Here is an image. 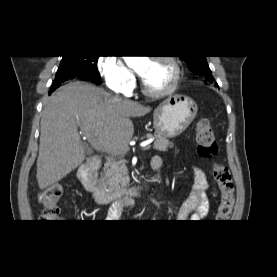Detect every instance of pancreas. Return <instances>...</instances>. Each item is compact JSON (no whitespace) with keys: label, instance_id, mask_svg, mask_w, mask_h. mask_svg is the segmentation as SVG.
Wrapping results in <instances>:
<instances>
[{"label":"pancreas","instance_id":"pancreas-1","mask_svg":"<svg viewBox=\"0 0 277 277\" xmlns=\"http://www.w3.org/2000/svg\"><path fill=\"white\" fill-rule=\"evenodd\" d=\"M146 138H154L155 142L153 148L160 152H165L169 147H173L165 137L159 135L147 134ZM125 160H111L107 162L101 174V181L108 187L110 192L117 193L124 190L129 185L128 169Z\"/></svg>","mask_w":277,"mask_h":277}]
</instances>
